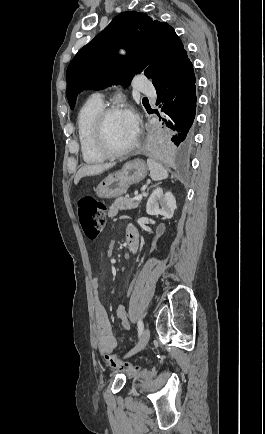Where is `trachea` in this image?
Instances as JSON below:
<instances>
[{
  "label": "trachea",
  "instance_id": "3493384b",
  "mask_svg": "<svg viewBox=\"0 0 265 434\" xmlns=\"http://www.w3.org/2000/svg\"><path fill=\"white\" fill-rule=\"evenodd\" d=\"M143 100H148V99H147V97H144V99H143Z\"/></svg>",
  "mask_w": 265,
  "mask_h": 434
}]
</instances>
